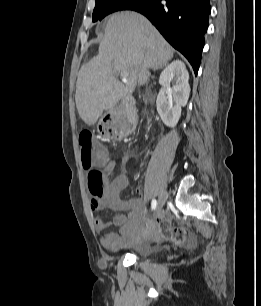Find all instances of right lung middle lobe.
I'll list each match as a JSON object with an SVG mask.
<instances>
[{
  "label": "right lung middle lobe",
  "mask_w": 261,
  "mask_h": 306,
  "mask_svg": "<svg viewBox=\"0 0 261 306\" xmlns=\"http://www.w3.org/2000/svg\"><path fill=\"white\" fill-rule=\"evenodd\" d=\"M142 0H96V6L93 11V22L101 20L106 15L119 11L131 9Z\"/></svg>",
  "instance_id": "dd1d6c3e"
}]
</instances>
